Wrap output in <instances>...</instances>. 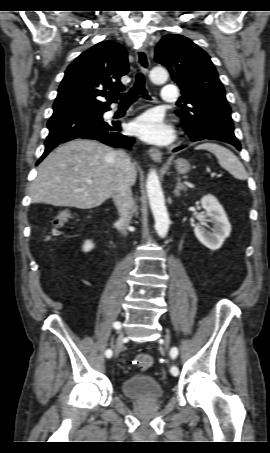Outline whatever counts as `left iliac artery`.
<instances>
[{"instance_id": "left-iliac-artery-1", "label": "left iliac artery", "mask_w": 270, "mask_h": 453, "mask_svg": "<svg viewBox=\"0 0 270 453\" xmlns=\"http://www.w3.org/2000/svg\"><path fill=\"white\" fill-rule=\"evenodd\" d=\"M170 354H171V357H172L173 359H175V358L177 357V355H178V349H177L176 347H173V348L171 349V353H170ZM171 374H172L173 376H177V375L179 374L178 367L172 366V367H171Z\"/></svg>"}]
</instances>
